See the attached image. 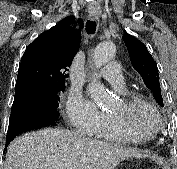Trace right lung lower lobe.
I'll return each instance as SVG.
<instances>
[{
  "mask_svg": "<svg viewBox=\"0 0 177 169\" xmlns=\"http://www.w3.org/2000/svg\"><path fill=\"white\" fill-rule=\"evenodd\" d=\"M56 121L57 118L43 113L11 114L6 136L5 149L9 145L10 141L20 133L44 126H55Z\"/></svg>",
  "mask_w": 177,
  "mask_h": 169,
  "instance_id": "obj_1",
  "label": "right lung lower lobe"
}]
</instances>
